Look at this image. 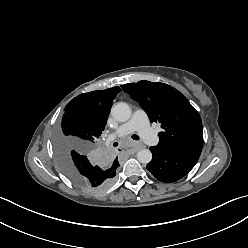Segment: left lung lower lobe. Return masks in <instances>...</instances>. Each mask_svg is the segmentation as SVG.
I'll use <instances>...</instances> for the list:
<instances>
[{
    "instance_id": "obj_1",
    "label": "left lung lower lobe",
    "mask_w": 248,
    "mask_h": 248,
    "mask_svg": "<svg viewBox=\"0 0 248 248\" xmlns=\"http://www.w3.org/2000/svg\"><path fill=\"white\" fill-rule=\"evenodd\" d=\"M202 146L203 144H189L168 149L151 147L153 158L147 169L162 182H175L187 175L194 167Z\"/></svg>"
}]
</instances>
